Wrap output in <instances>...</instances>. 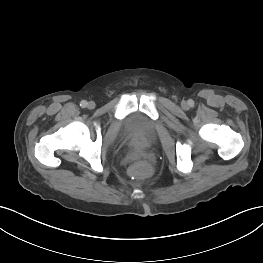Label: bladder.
Instances as JSON below:
<instances>
[{
  "mask_svg": "<svg viewBox=\"0 0 263 263\" xmlns=\"http://www.w3.org/2000/svg\"><path fill=\"white\" fill-rule=\"evenodd\" d=\"M156 132L154 123L141 113L130 114L123 125V136L126 140L139 144L151 143Z\"/></svg>",
  "mask_w": 263,
  "mask_h": 263,
  "instance_id": "1",
  "label": "bladder"
}]
</instances>
